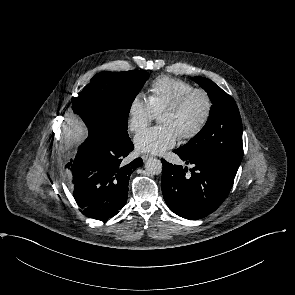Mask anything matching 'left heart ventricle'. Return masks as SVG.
Here are the masks:
<instances>
[{
    "label": "left heart ventricle",
    "instance_id": "obj_1",
    "mask_svg": "<svg viewBox=\"0 0 295 295\" xmlns=\"http://www.w3.org/2000/svg\"><path fill=\"white\" fill-rule=\"evenodd\" d=\"M205 111V101L196 95L188 106L179 114H163L159 117L162 125L172 127L179 136L191 131L200 121Z\"/></svg>",
    "mask_w": 295,
    "mask_h": 295
}]
</instances>
